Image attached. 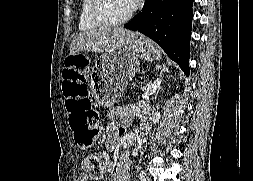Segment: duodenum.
Returning a JSON list of instances; mask_svg holds the SVG:
<instances>
[{"mask_svg":"<svg viewBox=\"0 0 253 181\" xmlns=\"http://www.w3.org/2000/svg\"><path fill=\"white\" fill-rule=\"evenodd\" d=\"M141 135L144 136V135H145V132L143 131V132L141 133Z\"/></svg>","mask_w":253,"mask_h":181,"instance_id":"1","label":"duodenum"}]
</instances>
